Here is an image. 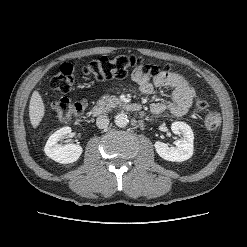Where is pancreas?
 <instances>
[{
  "label": "pancreas",
  "instance_id": "cf45deb5",
  "mask_svg": "<svg viewBox=\"0 0 247 247\" xmlns=\"http://www.w3.org/2000/svg\"><path fill=\"white\" fill-rule=\"evenodd\" d=\"M97 104L106 109H110L116 105L121 104V102L116 96L105 94L101 97L100 100H98Z\"/></svg>",
  "mask_w": 247,
  "mask_h": 247
}]
</instances>
